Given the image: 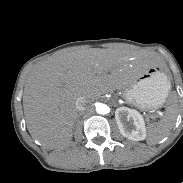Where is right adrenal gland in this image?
<instances>
[{
	"label": "right adrenal gland",
	"mask_w": 183,
	"mask_h": 183,
	"mask_svg": "<svg viewBox=\"0 0 183 183\" xmlns=\"http://www.w3.org/2000/svg\"><path fill=\"white\" fill-rule=\"evenodd\" d=\"M82 115V112H80L79 114H77V117L79 118Z\"/></svg>",
	"instance_id": "obj_1"
}]
</instances>
